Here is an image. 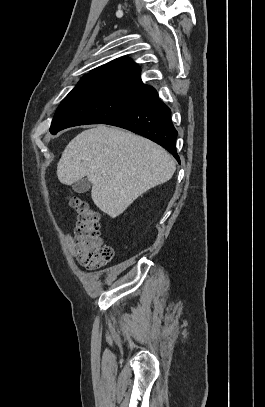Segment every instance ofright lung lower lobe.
Instances as JSON below:
<instances>
[{"mask_svg":"<svg viewBox=\"0 0 265 407\" xmlns=\"http://www.w3.org/2000/svg\"><path fill=\"white\" fill-rule=\"evenodd\" d=\"M170 113V108L159 100L155 91L142 103L104 122V124L130 130L158 143L180 163L176 152L177 131L171 121Z\"/></svg>","mask_w":265,"mask_h":407,"instance_id":"right-lung-lower-lobe-1","label":"right lung lower lobe"}]
</instances>
